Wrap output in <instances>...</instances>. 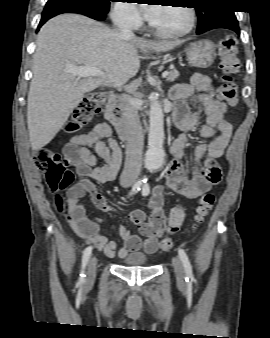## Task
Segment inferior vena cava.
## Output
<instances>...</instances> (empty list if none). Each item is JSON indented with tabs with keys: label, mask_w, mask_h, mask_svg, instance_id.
Instances as JSON below:
<instances>
[{
	"label": "inferior vena cava",
	"mask_w": 270,
	"mask_h": 338,
	"mask_svg": "<svg viewBox=\"0 0 270 338\" xmlns=\"http://www.w3.org/2000/svg\"><path fill=\"white\" fill-rule=\"evenodd\" d=\"M119 34L124 37H135L132 29L125 22H115ZM120 109L126 137V160L120 176L121 181L135 180L138 178L142 164L143 135L137 110L131 104L128 95H121Z\"/></svg>",
	"instance_id": "inferior-vena-cava-1"
}]
</instances>
